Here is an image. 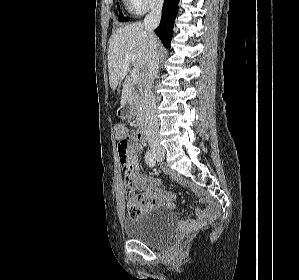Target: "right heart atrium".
<instances>
[{"mask_svg":"<svg viewBox=\"0 0 299 280\" xmlns=\"http://www.w3.org/2000/svg\"><path fill=\"white\" fill-rule=\"evenodd\" d=\"M130 7L139 14L160 6L163 0H127Z\"/></svg>","mask_w":299,"mask_h":280,"instance_id":"1","label":"right heart atrium"}]
</instances>
